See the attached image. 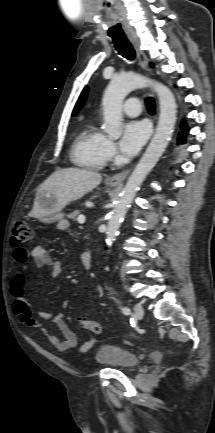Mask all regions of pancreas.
<instances>
[{
	"label": "pancreas",
	"instance_id": "cf45deb5",
	"mask_svg": "<svg viewBox=\"0 0 215 433\" xmlns=\"http://www.w3.org/2000/svg\"><path fill=\"white\" fill-rule=\"evenodd\" d=\"M79 213H80V212H79L78 210H75V211H73L72 213H70V214L68 215V218H69V219H74V220H75L76 216H78Z\"/></svg>",
	"mask_w": 215,
	"mask_h": 433
}]
</instances>
